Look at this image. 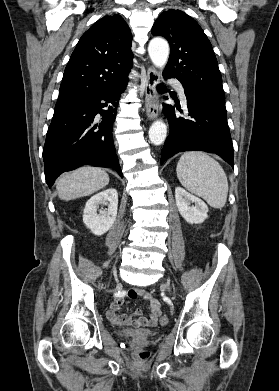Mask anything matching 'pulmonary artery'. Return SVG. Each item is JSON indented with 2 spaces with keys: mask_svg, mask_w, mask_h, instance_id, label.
I'll list each match as a JSON object with an SVG mask.
<instances>
[{
  "mask_svg": "<svg viewBox=\"0 0 279 391\" xmlns=\"http://www.w3.org/2000/svg\"><path fill=\"white\" fill-rule=\"evenodd\" d=\"M170 83H172L176 87L182 101L184 103H186V97H185L184 89H183V86L181 85V83L178 82L177 80H174V79H171Z\"/></svg>",
  "mask_w": 279,
  "mask_h": 391,
  "instance_id": "e3ab8cb5",
  "label": "pulmonary artery"
}]
</instances>
